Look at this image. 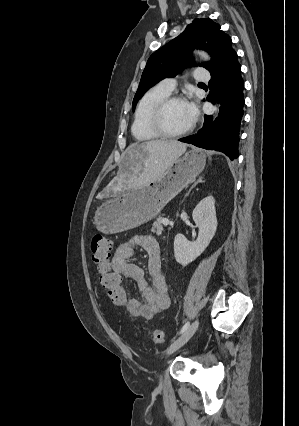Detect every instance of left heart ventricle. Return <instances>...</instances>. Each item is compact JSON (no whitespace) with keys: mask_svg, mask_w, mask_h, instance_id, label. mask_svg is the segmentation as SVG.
I'll return each mask as SVG.
<instances>
[{"mask_svg":"<svg viewBox=\"0 0 299 426\" xmlns=\"http://www.w3.org/2000/svg\"><path fill=\"white\" fill-rule=\"evenodd\" d=\"M164 123L166 128L172 132L186 128L191 123L186 102L172 103L166 110Z\"/></svg>","mask_w":299,"mask_h":426,"instance_id":"b2bd125f","label":"left heart ventricle"}]
</instances>
